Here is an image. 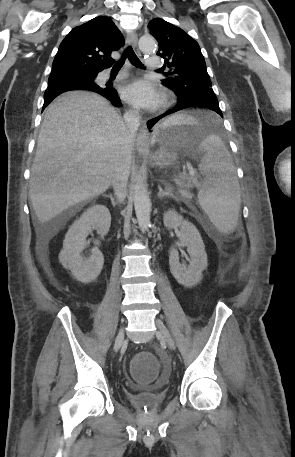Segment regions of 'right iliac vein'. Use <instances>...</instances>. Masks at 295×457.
Wrapping results in <instances>:
<instances>
[{
  "instance_id": "63e3f726",
  "label": "right iliac vein",
  "mask_w": 295,
  "mask_h": 457,
  "mask_svg": "<svg viewBox=\"0 0 295 457\" xmlns=\"http://www.w3.org/2000/svg\"><path fill=\"white\" fill-rule=\"evenodd\" d=\"M123 341H124V329L122 327L116 336L115 343H114V351L119 350V348L123 344Z\"/></svg>"
}]
</instances>
